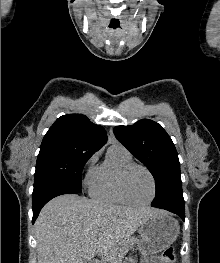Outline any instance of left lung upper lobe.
<instances>
[{
  "label": "left lung upper lobe",
  "mask_w": 220,
  "mask_h": 263,
  "mask_svg": "<svg viewBox=\"0 0 220 263\" xmlns=\"http://www.w3.org/2000/svg\"><path fill=\"white\" fill-rule=\"evenodd\" d=\"M114 134L153 175L156 196L151 206L184 210L178 154L162 126L152 120L142 119L133 125L116 126Z\"/></svg>",
  "instance_id": "obj_1"
}]
</instances>
